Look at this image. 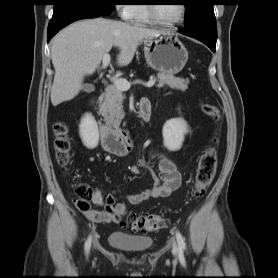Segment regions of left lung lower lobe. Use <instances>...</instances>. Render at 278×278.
I'll list each match as a JSON object with an SVG mask.
<instances>
[{
	"label": "left lung lower lobe",
	"mask_w": 278,
	"mask_h": 278,
	"mask_svg": "<svg viewBox=\"0 0 278 278\" xmlns=\"http://www.w3.org/2000/svg\"><path fill=\"white\" fill-rule=\"evenodd\" d=\"M180 32L189 37L198 39L199 41L206 44L213 52H215L217 39L209 36L203 28L198 27V26L185 27Z\"/></svg>",
	"instance_id": "1"
}]
</instances>
